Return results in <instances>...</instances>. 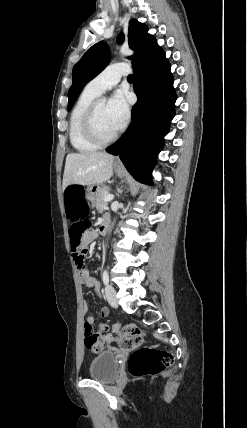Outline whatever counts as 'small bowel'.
<instances>
[{"mask_svg":"<svg viewBox=\"0 0 247 428\" xmlns=\"http://www.w3.org/2000/svg\"><path fill=\"white\" fill-rule=\"evenodd\" d=\"M96 237H97V233L95 231L93 230L86 231L81 240L82 249L86 251L88 246L96 239ZM75 262L77 264L76 258H75ZM78 269H79V278H80L81 284L84 287L93 288L97 296L99 297L102 296L100 285L95 279L91 277L89 270L84 268V266L78 267ZM87 310H88V306H85L82 304V311L85 315V321L90 320L93 322V325H94V318L90 315H87ZM102 325H105V324H102ZM104 335L106 336V339L104 340L105 342H111L113 340V337L111 334L106 333Z\"/></svg>","mask_w":247,"mask_h":428,"instance_id":"1","label":"small bowel"}]
</instances>
